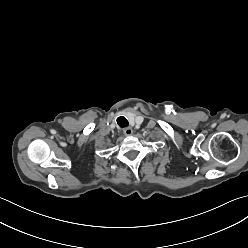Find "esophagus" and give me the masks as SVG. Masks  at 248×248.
I'll use <instances>...</instances> for the list:
<instances>
[{"instance_id": "obj_1", "label": "esophagus", "mask_w": 248, "mask_h": 248, "mask_svg": "<svg viewBox=\"0 0 248 248\" xmlns=\"http://www.w3.org/2000/svg\"><path fill=\"white\" fill-rule=\"evenodd\" d=\"M123 132H124V134H125L126 136H130V135L133 134V130H132V128H130V127L125 128Z\"/></svg>"}]
</instances>
